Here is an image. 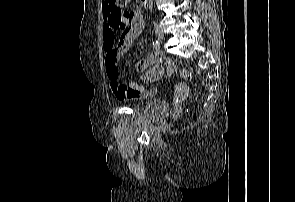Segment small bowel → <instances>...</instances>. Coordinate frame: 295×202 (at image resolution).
Listing matches in <instances>:
<instances>
[{
  "label": "small bowel",
  "instance_id": "1",
  "mask_svg": "<svg viewBox=\"0 0 295 202\" xmlns=\"http://www.w3.org/2000/svg\"><path fill=\"white\" fill-rule=\"evenodd\" d=\"M129 16L128 28L125 29L118 40L115 39V34L119 26V19L106 12L104 5L103 14V47L105 51V69L110 83V87L114 95L119 99L127 97L151 98L157 91V86L144 87L135 82H129L125 85L120 84L122 77H119L118 60L133 44L136 37L144 29V21L140 10L134 9L126 12ZM163 54L159 50L150 52L139 64V67L152 66L142 77L146 83L155 81L160 78L164 72L162 62ZM168 73L173 71L172 63L167 62ZM187 81H178L175 89L176 102H172V107H182L184 98L187 94Z\"/></svg>",
  "mask_w": 295,
  "mask_h": 202
}]
</instances>
